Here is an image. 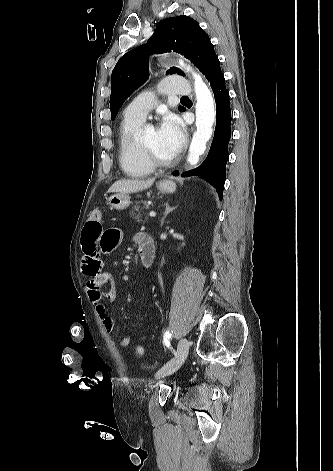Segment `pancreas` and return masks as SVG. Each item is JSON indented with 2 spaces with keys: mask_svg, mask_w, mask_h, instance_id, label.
<instances>
[{
  "mask_svg": "<svg viewBox=\"0 0 333 471\" xmlns=\"http://www.w3.org/2000/svg\"><path fill=\"white\" fill-rule=\"evenodd\" d=\"M141 204L142 206L137 203L136 206H134L133 208V211L131 212V215L134 216V218L138 221V222H141L142 221V214H141V211L143 209H148V205L145 201H141Z\"/></svg>",
  "mask_w": 333,
  "mask_h": 471,
  "instance_id": "obj_1",
  "label": "pancreas"
}]
</instances>
